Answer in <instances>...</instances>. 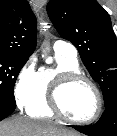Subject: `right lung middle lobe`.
<instances>
[{
  "instance_id": "1",
  "label": "right lung middle lobe",
  "mask_w": 117,
  "mask_h": 136,
  "mask_svg": "<svg viewBox=\"0 0 117 136\" xmlns=\"http://www.w3.org/2000/svg\"><path fill=\"white\" fill-rule=\"evenodd\" d=\"M27 58L0 55V96L14 99V85Z\"/></svg>"
}]
</instances>
